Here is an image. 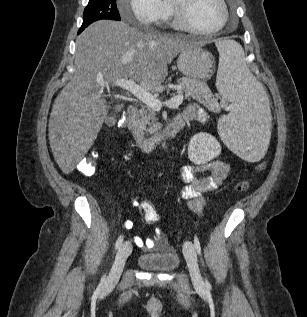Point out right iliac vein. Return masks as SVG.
I'll use <instances>...</instances> for the list:
<instances>
[{"label":"right iliac vein","instance_id":"right-iliac-vein-1","mask_svg":"<svg viewBox=\"0 0 307 317\" xmlns=\"http://www.w3.org/2000/svg\"><path fill=\"white\" fill-rule=\"evenodd\" d=\"M131 250H132V246H131L130 242H127V241L124 242L119 247V250L117 252L113 267H112V269L109 273V276L107 278V281H106V284L108 286H113L118 282V280L121 276V273L123 271L125 262L131 253Z\"/></svg>","mask_w":307,"mask_h":317}]
</instances>
